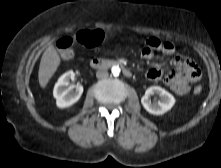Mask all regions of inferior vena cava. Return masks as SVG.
<instances>
[{
    "mask_svg": "<svg viewBox=\"0 0 221 168\" xmlns=\"http://www.w3.org/2000/svg\"><path fill=\"white\" fill-rule=\"evenodd\" d=\"M96 77L98 79H104V78L108 77V71L106 69H99L96 72Z\"/></svg>",
    "mask_w": 221,
    "mask_h": 168,
    "instance_id": "1",
    "label": "inferior vena cava"
}]
</instances>
